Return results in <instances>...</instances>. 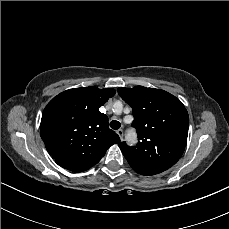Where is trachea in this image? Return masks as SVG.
<instances>
[{
	"label": "trachea",
	"instance_id": "3493384b",
	"mask_svg": "<svg viewBox=\"0 0 229 229\" xmlns=\"http://www.w3.org/2000/svg\"><path fill=\"white\" fill-rule=\"evenodd\" d=\"M120 126H121V124H120V122L117 121V120H112V121L110 122V127H111L112 129H114V130L119 129Z\"/></svg>",
	"mask_w": 229,
	"mask_h": 229
}]
</instances>
